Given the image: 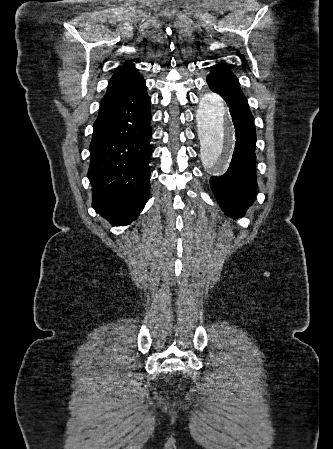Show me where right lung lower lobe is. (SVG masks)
<instances>
[{
    "mask_svg": "<svg viewBox=\"0 0 333 449\" xmlns=\"http://www.w3.org/2000/svg\"><path fill=\"white\" fill-rule=\"evenodd\" d=\"M151 99L146 89L98 115L89 146L92 207L113 226L132 222L150 192Z\"/></svg>",
    "mask_w": 333,
    "mask_h": 449,
    "instance_id": "obj_1",
    "label": "right lung lower lobe"
}]
</instances>
